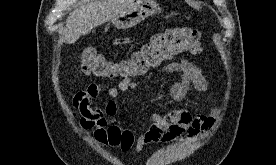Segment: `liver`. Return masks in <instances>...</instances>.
Listing matches in <instances>:
<instances>
[{
	"label": "liver",
	"mask_w": 276,
	"mask_h": 165,
	"mask_svg": "<svg viewBox=\"0 0 276 165\" xmlns=\"http://www.w3.org/2000/svg\"><path fill=\"white\" fill-rule=\"evenodd\" d=\"M134 4V0L91 1L70 13L63 31V40L67 44L75 43L80 36L87 35L91 30L102 25Z\"/></svg>",
	"instance_id": "obj_1"
}]
</instances>
